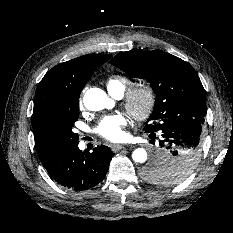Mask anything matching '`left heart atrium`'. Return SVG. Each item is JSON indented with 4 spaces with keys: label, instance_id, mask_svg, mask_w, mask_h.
Masks as SVG:
<instances>
[{
    "label": "left heart atrium",
    "instance_id": "left-heart-atrium-1",
    "mask_svg": "<svg viewBox=\"0 0 233 233\" xmlns=\"http://www.w3.org/2000/svg\"><path fill=\"white\" fill-rule=\"evenodd\" d=\"M127 120L122 114L104 116L95 127V133L109 141H120L125 137Z\"/></svg>",
    "mask_w": 233,
    "mask_h": 233
}]
</instances>
